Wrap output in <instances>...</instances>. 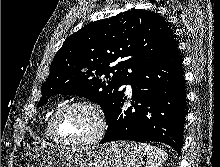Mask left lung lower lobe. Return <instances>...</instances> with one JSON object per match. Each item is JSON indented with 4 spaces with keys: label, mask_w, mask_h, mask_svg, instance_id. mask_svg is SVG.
I'll use <instances>...</instances> for the list:
<instances>
[{
    "label": "left lung lower lobe",
    "mask_w": 220,
    "mask_h": 167,
    "mask_svg": "<svg viewBox=\"0 0 220 167\" xmlns=\"http://www.w3.org/2000/svg\"><path fill=\"white\" fill-rule=\"evenodd\" d=\"M178 48L139 70L127 84L132 87V106L127 97L110 113L101 144L116 140L159 141L181 153L186 115V93Z\"/></svg>",
    "instance_id": "left-lung-lower-lobe-1"
}]
</instances>
